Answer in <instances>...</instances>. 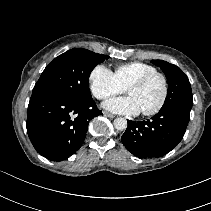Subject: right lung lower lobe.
Instances as JSON below:
<instances>
[{
	"label": "right lung lower lobe",
	"instance_id": "right-lung-lower-lobe-1",
	"mask_svg": "<svg viewBox=\"0 0 211 211\" xmlns=\"http://www.w3.org/2000/svg\"><path fill=\"white\" fill-rule=\"evenodd\" d=\"M101 114L92 99L78 102L56 95H34L28 106L27 133L40 155L62 161L81 147L89 121Z\"/></svg>",
	"mask_w": 211,
	"mask_h": 211
}]
</instances>
